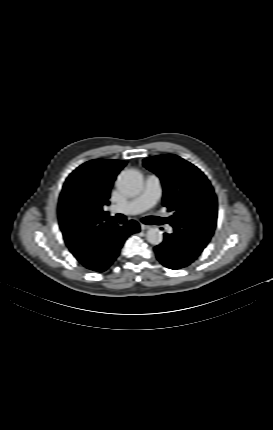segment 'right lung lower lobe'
<instances>
[{
    "instance_id": "1",
    "label": "right lung lower lobe",
    "mask_w": 273,
    "mask_h": 430,
    "mask_svg": "<svg viewBox=\"0 0 273 430\" xmlns=\"http://www.w3.org/2000/svg\"><path fill=\"white\" fill-rule=\"evenodd\" d=\"M139 231V224L133 220L124 226L102 228L91 239L88 253L78 260L90 270L103 272L116 260L126 238Z\"/></svg>"
}]
</instances>
